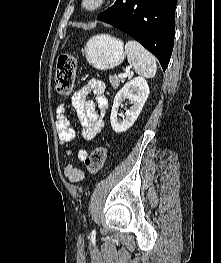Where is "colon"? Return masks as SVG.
<instances>
[{"instance_id":"1","label":"colon","mask_w":221,"mask_h":263,"mask_svg":"<svg viewBox=\"0 0 221 263\" xmlns=\"http://www.w3.org/2000/svg\"><path fill=\"white\" fill-rule=\"evenodd\" d=\"M77 67V57L73 53H64L59 56L57 62L55 87L60 96H69L74 87ZM107 149L104 146H98L91 151L85 159V165L88 172L95 174L99 172L106 161Z\"/></svg>"}]
</instances>
